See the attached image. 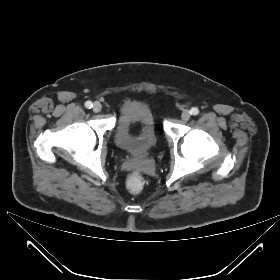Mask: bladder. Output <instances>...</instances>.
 Wrapping results in <instances>:
<instances>
[{"mask_svg":"<svg viewBox=\"0 0 280 280\" xmlns=\"http://www.w3.org/2000/svg\"><path fill=\"white\" fill-rule=\"evenodd\" d=\"M114 138L117 147L132 158H146L157 141L152 110L139 102L124 106L117 119Z\"/></svg>","mask_w":280,"mask_h":280,"instance_id":"31cf9c89","label":"bladder"}]
</instances>
